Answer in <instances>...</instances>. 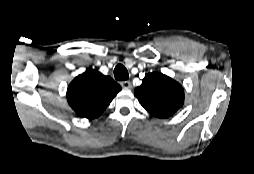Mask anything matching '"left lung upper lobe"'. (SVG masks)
<instances>
[{
    "instance_id": "1",
    "label": "left lung upper lobe",
    "mask_w": 254,
    "mask_h": 174,
    "mask_svg": "<svg viewBox=\"0 0 254 174\" xmlns=\"http://www.w3.org/2000/svg\"><path fill=\"white\" fill-rule=\"evenodd\" d=\"M134 95L140 104L153 116L168 118L184 103L183 87L161 73H148Z\"/></svg>"
}]
</instances>
